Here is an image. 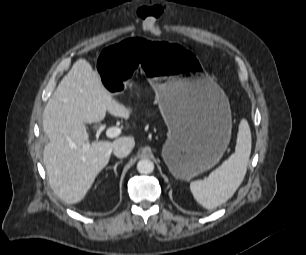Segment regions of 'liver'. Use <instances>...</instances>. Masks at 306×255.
<instances>
[{
  "label": "liver",
  "mask_w": 306,
  "mask_h": 255,
  "mask_svg": "<svg viewBox=\"0 0 306 255\" xmlns=\"http://www.w3.org/2000/svg\"><path fill=\"white\" fill-rule=\"evenodd\" d=\"M106 112L129 119L131 109L109 93L86 59L77 60L48 100L43 130L49 139L43 161L55 194L68 204L82 201L110 160L113 142L89 143L86 124L102 121ZM89 145L84 150L83 146Z\"/></svg>",
  "instance_id": "liver-1"
}]
</instances>
